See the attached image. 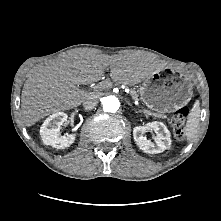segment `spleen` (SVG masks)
Listing matches in <instances>:
<instances>
[{"label":"spleen","instance_id":"spleen-1","mask_svg":"<svg viewBox=\"0 0 221 221\" xmlns=\"http://www.w3.org/2000/svg\"><path fill=\"white\" fill-rule=\"evenodd\" d=\"M199 118H200V107L199 105L195 104L189 114L185 126V136L188 142L192 141L198 132Z\"/></svg>","mask_w":221,"mask_h":221}]
</instances>
